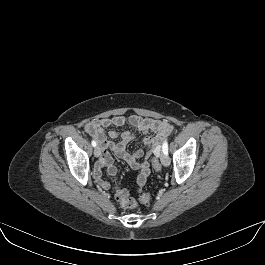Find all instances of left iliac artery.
<instances>
[{"instance_id": "left-iliac-artery-1", "label": "left iliac artery", "mask_w": 265, "mask_h": 265, "mask_svg": "<svg viewBox=\"0 0 265 265\" xmlns=\"http://www.w3.org/2000/svg\"><path fill=\"white\" fill-rule=\"evenodd\" d=\"M162 150L164 154L168 155V142L164 141L163 145H162Z\"/></svg>"}]
</instances>
